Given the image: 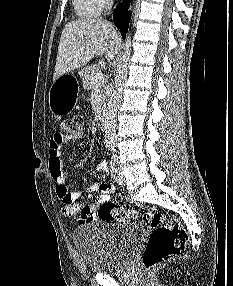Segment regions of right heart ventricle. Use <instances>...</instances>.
<instances>
[{"mask_svg": "<svg viewBox=\"0 0 233 286\" xmlns=\"http://www.w3.org/2000/svg\"><path fill=\"white\" fill-rule=\"evenodd\" d=\"M73 6L78 17L92 19L101 14L105 2L103 0H73Z\"/></svg>", "mask_w": 233, "mask_h": 286, "instance_id": "1", "label": "right heart ventricle"}]
</instances>
